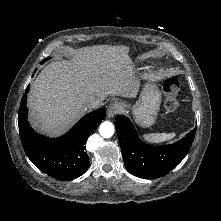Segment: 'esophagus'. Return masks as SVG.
Here are the masks:
<instances>
[{
	"instance_id": "esophagus-1",
	"label": "esophagus",
	"mask_w": 221,
	"mask_h": 221,
	"mask_svg": "<svg viewBox=\"0 0 221 221\" xmlns=\"http://www.w3.org/2000/svg\"><path fill=\"white\" fill-rule=\"evenodd\" d=\"M121 104L118 102L111 103L107 108V117L112 118L121 111Z\"/></svg>"
}]
</instances>
